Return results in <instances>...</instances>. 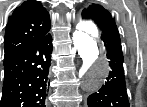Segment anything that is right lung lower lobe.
I'll list each match as a JSON object with an SVG mask.
<instances>
[{
	"instance_id": "1",
	"label": "right lung lower lobe",
	"mask_w": 147,
	"mask_h": 107,
	"mask_svg": "<svg viewBox=\"0 0 147 107\" xmlns=\"http://www.w3.org/2000/svg\"><path fill=\"white\" fill-rule=\"evenodd\" d=\"M52 48L49 33L4 60L0 107H45Z\"/></svg>"
}]
</instances>
